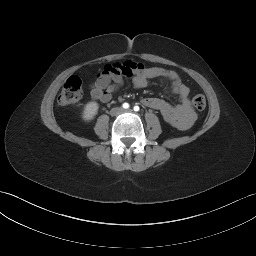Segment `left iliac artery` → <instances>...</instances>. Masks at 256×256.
Wrapping results in <instances>:
<instances>
[{
	"label": "left iliac artery",
	"instance_id": "obj_1",
	"mask_svg": "<svg viewBox=\"0 0 256 256\" xmlns=\"http://www.w3.org/2000/svg\"><path fill=\"white\" fill-rule=\"evenodd\" d=\"M133 109H134V111H139V110H140L139 106H137V105H136V106H134V108H133Z\"/></svg>",
	"mask_w": 256,
	"mask_h": 256
}]
</instances>
